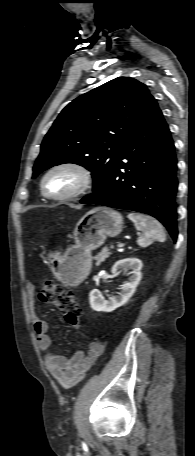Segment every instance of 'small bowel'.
I'll return each mask as SVG.
<instances>
[{"mask_svg":"<svg viewBox=\"0 0 195 456\" xmlns=\"http://www.w3.org/2000/svg\"><path fill=\"white\" fill-rule=\"evenodd\" d=\"M26 293L37 343L44 352L46 369L57 379L63 389H70L84 379L87 371L103 353L104 344L100 341L92 342L86 351H78L71 358L56 354L51 350L52 340L49 336L48 322L41 320L34 312L33 284H27Z\"/></svg>","mask_w":195,"mask_h":456,"instance_id":"small-bowel-1","label":"small bowel"}]
</instances>
